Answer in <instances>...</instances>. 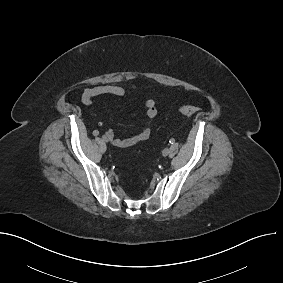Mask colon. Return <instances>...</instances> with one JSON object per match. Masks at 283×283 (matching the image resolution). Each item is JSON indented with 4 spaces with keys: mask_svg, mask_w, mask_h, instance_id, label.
<instances>
[{
    "mask_svg": "<svg viewBox=\"0 0 283 283\" xmlns=\"http://www.w3.org/2000/svg\"><path fill=\"white\" fill-rule=\"evenodd\" d=\"M199 111V108L193 105H183L179 108V112L184 116H192Z\"/></svg>",
    "mask_w": 283,
    "mask_h": 283,
    "instance_id": "1",
    "label": "colon"
}]
</instances>
